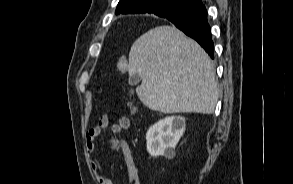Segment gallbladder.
Instances as JSON below:
<instances>
[{
  "label": "gallbladder",
  "instance_id": "bac80fb5",
  "mask_svg": "<svg viewBox=\"0 0 293 184\" xmlns=\"http://www.w3.org/2000/svg\"><path fill=\"white\" fill-rule=\"evenodd\" d=\"M140 81L141 77L138 74H134L129 78L130 85H137Z\"/></svg>",
  "mask_w": 293,
  "mask_h": 184
}]
</instances>
